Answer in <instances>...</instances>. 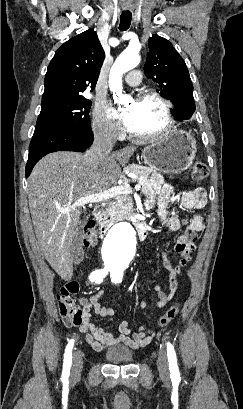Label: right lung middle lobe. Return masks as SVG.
<instances>
[{
  "label": "right lung middle lobe",
  "instance_id": "1",
  "mask_svg": "<svg viewBox=\"0 0 243 409\" xmlns=\"http://www.w3.org/2000/svg\"><path fill=\"white\" fill-rule=\"evenodd\" d=\"M36 126L85 131L90 128L91 101L83 96L42 101Z\"/></svg>",
  "mask_w": 243,
  "mask_h": 409
}]
</instances>
